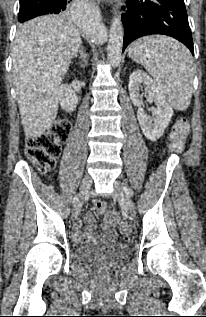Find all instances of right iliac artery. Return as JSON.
Here are the masks:
<instances>
[{
	"label": "right iliac artery",
	"mask_w": 206,
	"mask_h": 317,
	"mask_svg": "<svg viewBox=\"0 0 206 317\" xmlns=\"http://www.w3.org/2000/svg\"><path fill=\"white\" fill-rule=\"evenodd\" d=\"M78 199H79V195H76V196L74 197L73 203H76Z\"/></svg>",
	"instance_id": "82829eb1"
}]
</instances>
